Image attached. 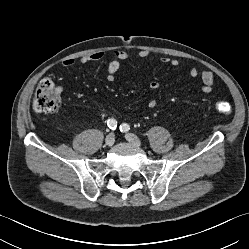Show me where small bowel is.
<instances>
[{
	"mask_svg": "<svg viewBox=\"0 0 249 249\" xmlns=\"http://www.w3.org/2000/svg\"><path fill=\"white\" fill-rule=\"evenodd\" d=\"M106 56H109V63L107 65V70H106V78L108 81L112 82L116 78V74L118 70L120 69V66L123 62H126L129 60V56L126 52L122 50H114L106 54L105 52H95L92 54L84 55L83 57L80 58V62L82 64H87L90 62H96L100 61ZM137 57L139 59H149V60H154L153 57H150V54L146 50H142L137 54ZM160 61L166 64L171 65L172 67H178L180 65V60L177 58H171V57H162L160 58ZM75 64L74 59H66L63 61V65L65 67H71ZM189 75L192 78H201V86L200 89L204 93H210L213 89V83H214V76L212 72L210 71H203L199 72L198 68L195 66H192L189 69ZM159 83L156 81H153L149 84V88L152 92H157L159 90ZM158 100L157 98H152L149 100L147 106L150 109H153L157 106Z\"/></svg>",
	"mask_w": 249,
	"mask_h": 249,
	"instance_id": "obj_1",
	"label": "small bowel"
}]
</instances>
